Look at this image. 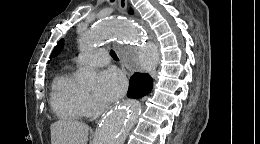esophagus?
<instances>
[{"mask_svg":"<svg viewBox=\"0 0 260 144\" xmlns=\"http://www.w3.org/2000/svg\"><path fill=\"white\" fill-rule=\"evenodd\" d=\"M118 5H119V10L122 13H125L127 11V0H118ZM121 67L125 75L130 76L131 75V70L128 65H126L122 60H121Z\"/></svg>","mask_w":260,"mask_h":144,"instance_id":"esophagus-1","label":"esophagus"}]
</instances>
